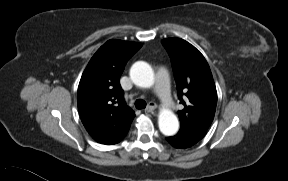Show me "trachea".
Segmentation results:
<instances>
[{"mask_svg":"<svg viewBox=\"0 0 288 181\" xmlns=\"http://www.w3.org/2000/svg\"><path fill=\"white\" fill-rule=\"evenodd\" d=\"M135 107L137 109H144V108H146V102L144 100H142V99H138L135 102Z\"/></svg>","mask_w":288,"mask_h":181,"instance_id":"3493384b","label":"trachea"}]
</instances>
